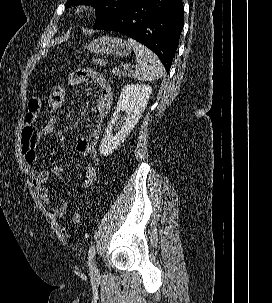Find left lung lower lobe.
<instances>
[{"label": "left lung lower lobe", "instance_id": "obj_1", "mask_svg": "<svg viewBox=\"0 0 272 303\" xmlns=\"http://www.w3.org/2000/svg\"><path fill=\"white\" fill-rule=\"evenodd\" d=\"M182 0H138L98 30L116 31L155 52L168 72L183 28Z\"/></svg>", "mask_w": 272, "mask_h": 303}]
</instances>
